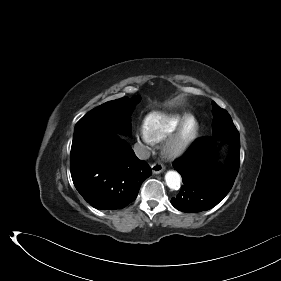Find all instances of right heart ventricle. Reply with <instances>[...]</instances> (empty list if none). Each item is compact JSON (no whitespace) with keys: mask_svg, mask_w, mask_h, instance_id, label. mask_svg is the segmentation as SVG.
<instances>
[{"mask_svg":"<svg viewBox=\"0 0 281 281\" xmlns=\"http://www.w3.org/2000/svg\"><path fill=\"white\" fill-rule=\"evenodd\" d=\"M188 114L153 111L149 113L143 124V130L151 142L166 139Z\"/></svg>","mask_w":281,"mask_h":281,"instance_id":"1","label":"right heart ventricle"}]
</instances>
